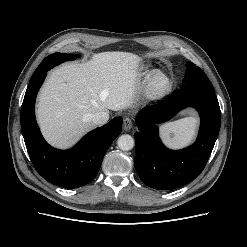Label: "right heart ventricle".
Masks as SVG:
<instances>
[{
    "instance_id": "e07e8e85",
    "label": "right heart ventricle",
    "mask_w": 247,
    "mask_h": 247,
    "mask_svg": "<svg viewBox=\"0 0 247 247\" xmlns=\"http://www.w3.org/2000/svg\"><path fill=\"white\" fill-rule=\"evenodd\" d=\"M145 72L147 75H149L150 73L154 72L153 70H151L150 68H146Z\"/></svg>"
}]
</instances>
